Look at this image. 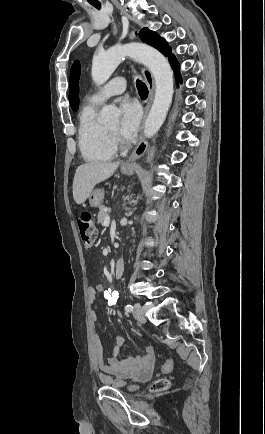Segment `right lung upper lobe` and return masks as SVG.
Wrapping results in <instances>:
<instances>
[{"label":"right lung upper lobe","instance_id":"obj_1","mask_svg":"<svg viewBox=\"0 0 265 434\" xmlns=\"http://www.w3.org/2000/svg\"><path fill=\"white\" fill-rule=\"evenodd\" d=\"M80 78V63L75 61L72 65L70 72V93H69V101L72 108H78L79 103V86L78 81Z\"/></svg>","mask_w":265,"mask_h":434}]
</instances>
